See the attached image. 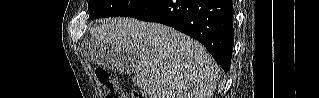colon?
I'll list each match as a JSON object with an SVG mask.
<instances>
[{
  "label": "colon",
  "instance_id": "obj_1",
  "mask_svg": "<svg viewBox=\"0 0 319 98\" xmlns=\"http://www.w3.org/2000/svg\"><path fill=\"white\" fill-rule=\"evenodd\" d=\"M95 76L101 85L104 98H126L119 87L117 79L110 75L105 69L96 68ZM145 97V93L142 90H136L132 95V98Z\"/></svg>",
  "mask_w": 319,
  "mask_h": 98
}]
</instances>
